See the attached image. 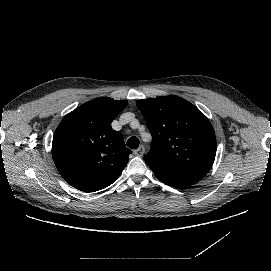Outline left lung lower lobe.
Wrapping results in <instances>:
<instances>
[{
    "mask_svg": "<svg viewBox=\"0 0 271 271\" xmlns=\"http://www.w3.org/2000/svg\"><path fill=\"white\" fill-rule=\"evenodd\" d=\"M156 177L163 183L186 188L200 181L208 171L166 164L150 157L144 158Z\"/></svg>",
    "mask_w": 271,
    "mask_h": 271,
    "instance_id": "left-lung-lower-lobe-1",
    "label": "left lung lower lobe"
}]
</instances>
